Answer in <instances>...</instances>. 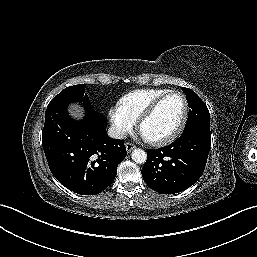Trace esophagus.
<instances>
[{
    "mask_svg": "<svg viewBox=\"0 0 257 257\" xmlns=\"http://www.w3.org/2000/svg\"><path fill=\"white\" fill-rule=\"evenodd\" d=\"M125 146H126V150H127L128 153L131 152L136 147L134 144H132L130 142H127L125 144Z\"/></svg>",
    "mask_w": 257,
    "mask_h": 257,
    "instance_id": "obj_1",
    "label": "esophagus"
}]
</instances>
